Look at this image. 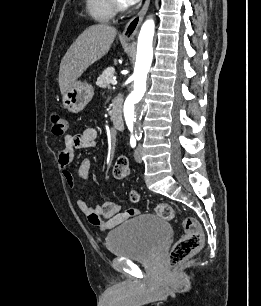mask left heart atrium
<instances>
[{
    "instance_id": "obj_1",
    "label": "left heart atrium",
    "mask_w": 261,
    "mask_h": 306,
    "mask_svg": "<svg viewBox=\"0 0 261 306\" xmlns=\"http://www.w3.org/2000/svg\"><path fill=\"white\" fill-rule=\"evenodd\" d=\"M126 5H132L137 3L139 0H121Z\"/></svg>"
}]
</instances>
